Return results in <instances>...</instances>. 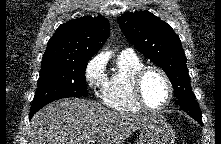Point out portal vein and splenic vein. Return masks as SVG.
<instances>
[{
    "label": "portal vein and splenic vein",
    "mask_w": 221,
    "mask_h": 144,
    "mask_svg": "<svg viewBox=\"0 0 221 144\" xmlns=\"http://www.w3.org/2000/svg\"><path fill=\"white\" fill-rule=\"evenodd\" d=\"M95 137L89 138L88 139V144H92L94 142Z\"/></svg>",
    "instance_id": "portal-vein-and-splenic-vein-1"
}]
</instances>
